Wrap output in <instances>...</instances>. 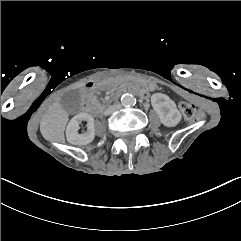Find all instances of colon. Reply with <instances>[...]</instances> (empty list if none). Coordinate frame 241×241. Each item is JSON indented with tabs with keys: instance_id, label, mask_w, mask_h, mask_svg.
<instances>
[{
	"instance_id": "1",
	"label": "colon",
	"mask_w": 241,
	"mask_h": 241,
	"mask_svg": "<svg viewBox=\"0 0 241 241\" xmlns=\"http://www.w3.org/2000/svg\"><path fill=\"white\" fill-rule=\"evenodd\" d=\"M179 108L183 116L190 121H194L202 115V110L200 108H196L193 104L188 102H181Z\"/></svg>"
}]
</instances>
